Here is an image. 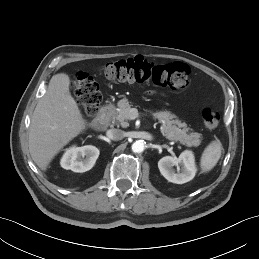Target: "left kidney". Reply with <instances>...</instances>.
<instances>
[{
	"instance_id": "5707ae66",
	"label": "left kidney",
	"mask_w": 259,
	"mask_h": 259,
	"mask_svg": "<svg viewBox=\"0 0 259 259\" xmlns=\"http://www.w3.org/2000/svg\"><path fill=\"white\" fill-rule=\"evenodd\" d=\"M173 166L177 167V172ZM160 173L169 182L183 184L192 180L197 168L192 151L186 150L177 157L165 156L158 162Z\"/></svg>"
}]
</instances>
